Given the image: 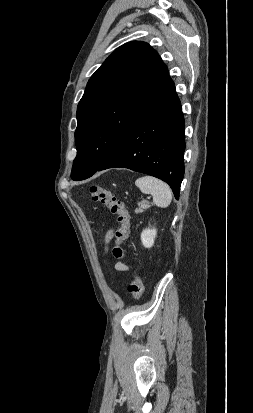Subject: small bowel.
<instances>
[{"label":"small bowel","mask_w":253,"mask_h":413,"mask_svg":"<svg viewBox=\"0 0 253 413\" xmlns=\"http://www.w3.org/2000/svg\"><path fill=\"white\" fill-rule=\"evenodd\" d=\"M112 234H113V232H112V230H110L108 232V234L106 235V243L110 242V240L112 239ZM115 269L118 270V271H127L129 269V267L126 264L122 263V262H117L115 264Z\"/></svg>","instance_id":"c3829d8e"}]
</instances>
